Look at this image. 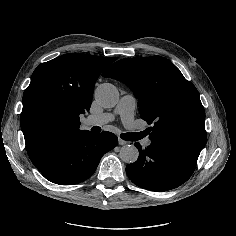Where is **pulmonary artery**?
Instances as JSON below:
<instances>
[{"label":"pulmonary artery","mask_w":236,"mask_h":236,"mask_svg":"<svg viewBox=\"0 0 236 236\" xmlns=\"http://www.w3.org/2000/svg\"><path fill=\"white\" fill-rule=\"evenodd\" d=\"M136 103V98L133 95H125L119 99L113 112L105 114L104 118L109 121L119 116L122 119L125 128H132L134 126V110L136 108ZM142 144L144 147H148L151 144V140L146 138L143 140Z\"/></svg>","instance_id":"pulmonary-artery-1"}]
</instances>
